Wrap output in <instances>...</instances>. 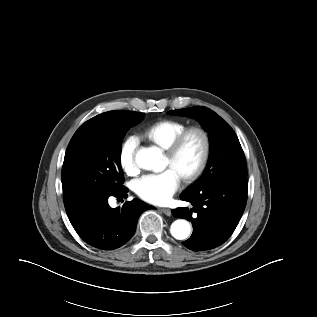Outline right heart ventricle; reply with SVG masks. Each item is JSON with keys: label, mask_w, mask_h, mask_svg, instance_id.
<instances>
[{"label": "right heart ventricle", "mask_w": 317, "mask_h": 317, "mask_svg": "<svg viewBox=\"0 0 317 317\" xmlns=\"http://www.w3.org/2000/svg\"><path fill=\"white\" fill-rule=\"evenodd\" d=\"M186 128L187 125L181 121L161 120L147 127L143 131V137L166 150Z\"/></svg>", "instance_id": "1"}]
</instances>
